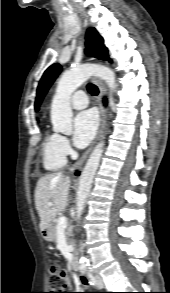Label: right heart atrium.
Segmentation results:
<instances>
[{
	"label": "right heart atrium",
	"instance_id": "obj_1",
	"mask_svg": "<svg viewBox=\"0 0 170 293\" xmlns=\"http://www.w3.org/2000/svg\"><path fill=\"white\" fill-rule=\"evenodd\" d=\"M58 146L64 155L70 154L71 146H70V143L66 137L58 135Z\"/></svg>",
	"mask_w": 170,
	"mask_h": 293
}]
</instances>
